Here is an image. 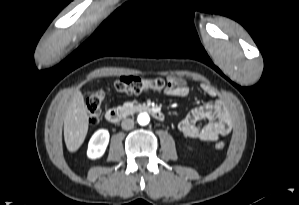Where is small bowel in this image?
Returning a JSON list of instances; mask_svg holds the SVG:
<instances>
[{"instance_id":"1","label":"small bowel","mask_w":299,"mask_h":205,"mask_svg":"<svg viewBox=\"0 0 299 205\" xmlns=\"http://www.w3.org/2000/svg\"><path fill=\"white\" fill-rule=\"evenodd\" d=\"M175 86L167 90L174 97H186L191 89L184 79L171 80ZM201 91L212 98L218 96L217 91L207 84L200 86ZM201 120L206 124L199 126ZM179 131L186 137L203 141H216L230 133L232 128L231 115L226 102L218 98L215 102L193 109L178 125Z\"/></svg>"}]
</instances>
